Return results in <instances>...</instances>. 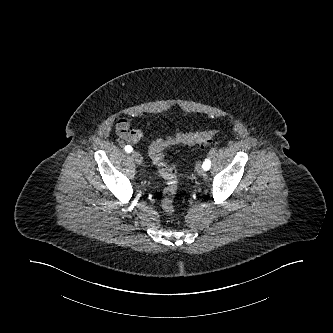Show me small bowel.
<instances>
[{"label":"small bowel","mask_w":333,"mask_h":333,"mask_svg":"<svg viewBox=\"0 0 333 333\" xmlns=\"http://www.w3.org/2000/svg\"><path fill=\"white\" fill-rule=\"evenodd\" d=\"M116 131L120 139L130 143L138 142L143 136L140 130L131 128V120L126 118L117 121Z\"/></svg>","instance_id":"1"}]
</instances>
